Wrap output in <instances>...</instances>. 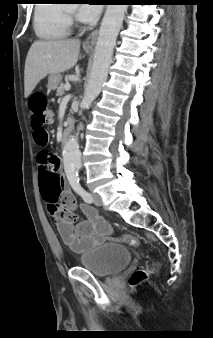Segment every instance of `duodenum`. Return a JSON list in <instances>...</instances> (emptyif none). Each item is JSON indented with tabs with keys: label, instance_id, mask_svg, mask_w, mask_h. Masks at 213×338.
Wrapping results in <instances>:
<instances>
[{
	"label": "duodenum",
	"instance_id": "duodenum-1",
	"mask_svg": "<svg viewBox=\"0 0 213 338\" xmlns=\"http://www.w3.org/2000/svg\"><path fill=\"white\" fill-rule=\"evenodd\" d=\"M73 128H74V125H73L72 122H69V123L66 125V127H65V129H64V133H63V139H64V140H67V139L70 137V134H71Z\"/></svg>",
	"mask_w": 213,
	"mask_h": 338
}]
</instances>
